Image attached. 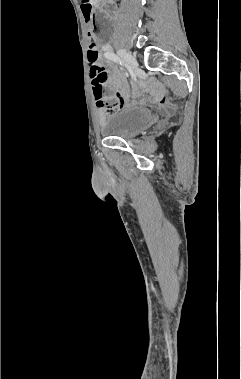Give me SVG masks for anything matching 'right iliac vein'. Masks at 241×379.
<instances>
[{"mask_svg": "<svg viewBox=\"0 0 241 379\" xmlns=\"http://www.w3.org/2000/svg\"><path fill=\"white\" fill-rule=\"evenodd\" d=\"M118 55L127 63L133 72H137L139 67L136 59L124 49L117 50Z\"/></svg>", "mask_w": 241, "mask_h": 379, "instance_id": "obj_1", "label": "right iliac vein"}]
</instances>
